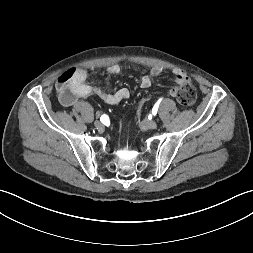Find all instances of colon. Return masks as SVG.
<instances>
[{
    "label": "colon",
    "instance_id": "colon-1",
    "mask_svg": "<svg viewBox=\"0 0 253 253\" xmlns=\"http://www.w3.org/2000/svg\"><path fill=\"white\" fill-rule=\"evenodd\" d=\"M74 76V71H68L64 74H62L57 83V90L59 92V95L63 99H67L70 96V83ZM153 94L147 93L143 96H141V102L139 103L137 109L134 113V118L136 120H139L141 118V114L143 113V110L146 108L147 104L150 102L151 99H153ZM176 99L177 102L183 106L188 107L191 106L195 99H196V91L195 88L191 84H185L183 86H180L177 88L176 91Z\"/></svg>",
    "mask_w": 253,
    "mask_h": 253
}]
</instances>
